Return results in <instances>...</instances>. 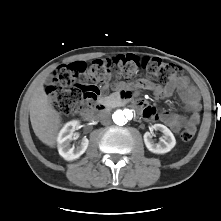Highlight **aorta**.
Wrapping results in <instances>:
<instances>
[{
  "label": "aorta",
  "instance_id": "aorta-1",
  "mask_svg": "<svg viewBox=\"0 0 221 221\" xmlns=\"http://www.w3.org/2000/svg\"><path fill=\"white\" fill-rule=\"evenodd\" d=\"M112 118L115 124L122 126L133 118V112L130 109L117 110Z\"/></svg>",
  "mask_w": 221,
  "mask_h": 221
}]
</instances>
